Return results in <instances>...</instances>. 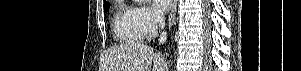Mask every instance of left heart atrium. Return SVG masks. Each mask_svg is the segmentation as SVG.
Listing matches in <instances>:
<instances>
[{
    "label": "left heart atrium",
    "instance_id": "obj_1",
    "mask_svg": "<svg viewBox=\"0 0 301 71\" xmlns=\"http://www.w3.org/2000/svg\"><path fill=\"white\" fill-rule=\"evenodd\" d=\"M171 0H152L153 7L158 13L166 12L171 6Z\"/></svg>",
    "mask_w": 301,
    "mask_h": 71
}]
</instances>
